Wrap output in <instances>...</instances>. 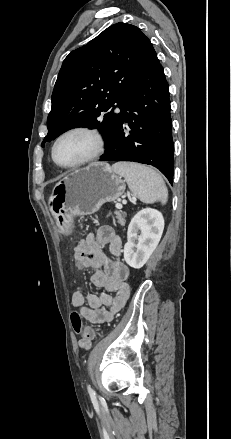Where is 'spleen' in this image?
<instances>
[{
  "mask_svg": "<svg viewBox=\"0 0 231 439\" xmlns=\"http://www.w3.org/2000/svg\"><path fill=\"white\" fill-rule=\"evenodd\" d=\"M112 169L125 178L133 195L142 202L150 204L160 201L166 204L168 190L155 170L136 163H116Z\"/></svg>",
  "mask_w": 231,
  "mask_h": 439,
  "instance_id": "spleen-1",
  "label": "spleen"
}]
</instances>
